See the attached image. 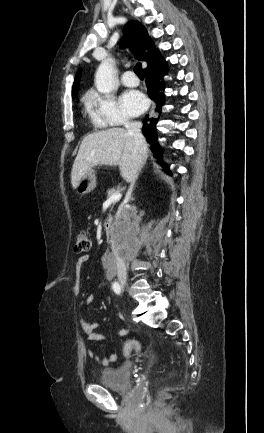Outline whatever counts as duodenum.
<instances>
[{"mask_svg":"<svg viewBox=\"0 0 264 433\" xmlns=\"http://www.w3.org/2000/svg\"><path fill=\"white\" fill-rule=\"evenodd\" d=\"M112 229H113L112 223L111 222H106V224H105V231L107 233L108 240H109L110 244L112 243ZM112 249H113V251L111 252V260L108 263V268L110 270V273H112V272H114V271L117 270L118 262H119L116 259L117 255H118L117 249L115 247H112Z\"/></svg>","mask_w":264,"mask_h":433,"instance_id":"duodenum-1","label":"duodenum"}]
</instances>
